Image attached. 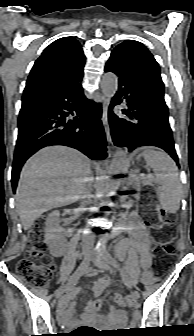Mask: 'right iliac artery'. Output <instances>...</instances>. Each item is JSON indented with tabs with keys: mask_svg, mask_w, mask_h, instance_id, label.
<instances>
[{
	"mask_svg": "<svg viewBox=\"0 0 194 336\" xmlns=\"http://www.w3.org/2000/svg\"><path fill=\"white\" fill-rule=\"evenodd\" d=\"M84 266H85V263L82 262V263L80 264V266L78 267V269H77V270L74 272V274L70 277L69 282L72 283V286L78 281L79 276L82 274L81 271H82V269L84 268ZM71 296H72L71 293L65 295V297H71Z\"/></svg>",
	"mask_w": 194,
	"mask_h": 336,
	"instance_id": "1",
	"label": "right iliac artery"
}]
</instances>
